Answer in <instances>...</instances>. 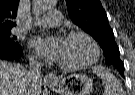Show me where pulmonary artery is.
Here are the masks:
<instances>
[{
	"instance_id": "pulmonary-artery-1",
	"label": "pulmonary artery",
	"mask_w": 135,
	"mask_h": 95,
	"mask_svg": "<svg viewBox=\"0 0 135 95\" xmlns=\"http://www.w3.org/2000/svg\"><path fill=\"white\" fill-rule=\"evenodd\" d=\"M39 21L44 25L56 26L62 22V15L58 10H50Z\"/></svg>"
}]
</instances>
